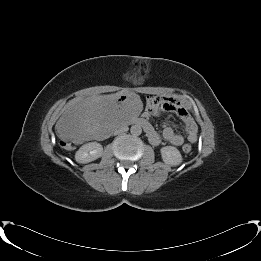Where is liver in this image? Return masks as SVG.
I'll return each mask as SVG.
<instances>
[{
    "instance_id": "liver-1",
    "label": "liver",
    "mask_w": 261,
    "mask_h": 261,
    "mask_svg": "<svg viewBox=\"0 0 261 261\" xmlns=\"http://www.w3.org/2000/svg\"><path fill=\"white\" fill-rule=\"evenodd\" d=\"M139 96L130 93L91 96L68 108L57 121L60 139L81 143L102 132L115 134L140 112Z\"/></svg>"
}]
</instances>
